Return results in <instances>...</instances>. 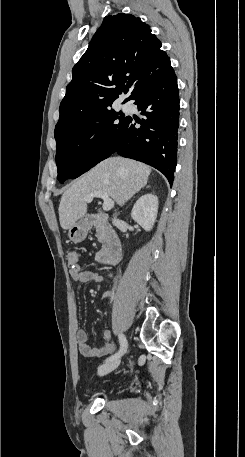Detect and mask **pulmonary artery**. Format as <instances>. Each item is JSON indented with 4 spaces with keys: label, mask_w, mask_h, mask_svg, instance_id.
<instances>
[{
    "label": "pulmonary artery",
    "mask_w": 245,
    "mask_h": 457,
    "mask_svg": "<svg viewBox=\"0 0 245 457\" xmlns=\"http://www.w3.org/2000/svg\"><path fill=\"white\" fill-rule=\"evenodd\" d=\"M125 112H130L131 111V106L129 104H124L120 106Z\"/></svg>",
    "instance_id": "1"
}]
</instances>
